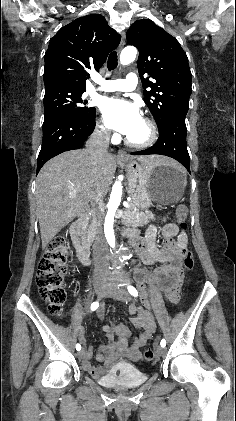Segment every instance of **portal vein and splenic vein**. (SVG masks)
<instances>
[{"mask_svg": "<svg viewBox=\"0 0 236 421\" xmlns=\"http://www.w3.org/2000/svg\"><path fill=\"white\" fill-rule=\"evenodd\" d=\"M123 206H125V208H128V206H129V202H126V200H124V202H123Z\"/></svg>", "mask_w": 236, "mask_h": 421, "instance_id": "portal-vein-and-splenic-vein-1", "label": "portal vein and splenic vein"}]
</instances>
